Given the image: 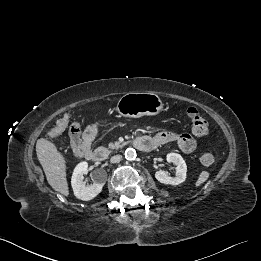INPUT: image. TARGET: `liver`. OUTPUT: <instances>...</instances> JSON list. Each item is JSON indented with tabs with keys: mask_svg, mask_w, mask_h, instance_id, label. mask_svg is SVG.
Instances as JSON below:
<instances>
[{
	"mask_svg": "<svg viewBox=\"0 0 261 261\" xmlns=\"http://www.w3.org/2000/svg\"><path fill=\"white\" fill-rule=\"evenodd\" d=\"M36 154L49 185L64 196L69 195L66 178V160L51 141L40 138L36 143Z\"/></svg>",
	"mask_w": 261,
	"mask_h": 261,
	"instance_id": "1",
	"label": "liver"
}]
</instances>
